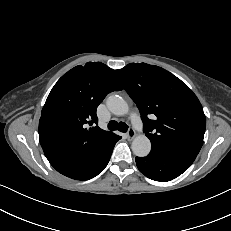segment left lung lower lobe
Wrapping results in <instances>:
<instances>
[{"mask_svg":"<svg viewBox=\"0 0 231 231\" xmlns=\"http://www.w3.org/2000/svg\"><path fill=\"white\" fill-rule=\"evenodd\" d=\"M195 158L188 153L151 148L147 157H136V164L146 177L166 182L185 172Z\"/></svg>","mask_w":231,"mask_h":231,"instance_id":"obj_1","label":"left lung lower lobe"}]
</instances>
